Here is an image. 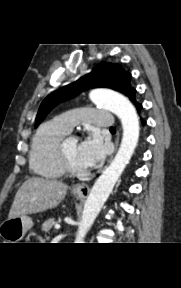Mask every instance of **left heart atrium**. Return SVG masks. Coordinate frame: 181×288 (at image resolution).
Segmentation results:
<instances>
[{
    "mask_svg": "<svg viewBox=\"0 0 181 288\" xmlns=\"http://www.w3.org/2000/svg\"><path fill=\"white\" fill-rule=\"evenodd\" d=\"M106 149L98 133L92 132L78 145L77 158L83 168H90L103 161Z\"/></svg>",
    "mask_w": 181,
    "mask_h": 288,
    "instance_id": "1",
    "label": "left heart atrium"
}]
</instances>
